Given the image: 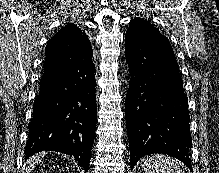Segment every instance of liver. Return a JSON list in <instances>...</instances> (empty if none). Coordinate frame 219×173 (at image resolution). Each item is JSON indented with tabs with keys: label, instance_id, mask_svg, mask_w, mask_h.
I'll list each match as a JSON object with an SVG mask.
<instances>
[{
	"label": "liver",
	"instance_id": "6515ba94",
	"mask_svg": "<svg viewBox=\"0 0 219 173\" xmlns=\"http://www.w3.org/2000/svg\"><path fill=\"white\" fill-rule=\"evenodd\" d=\"M40 159H41V155L40 154L34 156L33 160L28 162L29 170H31V168H33L35 166V164L38 163V161H40Z\"/></svg>",
	"mask_w": 219,
	"mask_h": 173
}]
</instances>
